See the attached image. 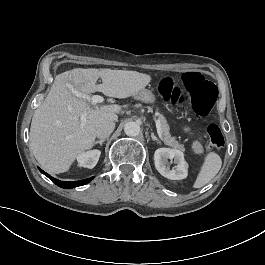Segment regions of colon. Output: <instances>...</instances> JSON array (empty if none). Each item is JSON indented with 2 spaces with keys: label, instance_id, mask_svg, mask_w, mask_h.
<instances>
[{
  "label": "colon",
  "instance_id": "1",
  "mask_svg": "<svg viewBox=\"0 0 265 265\" xmlns=\"http://www.w3.org/2000/svg\"><path fill=\"white\" fill-rule=\"evenodd\" d=\"M181 86L183 90L174 83L171 77H164L158 84L157 91L162 99L173 108L190 104L197 117L206 116L218 99L217 86L202 69L194 68L186 72ZM206 131L212 150L221 151L225 147V139L219 125L210 123Z\"/></svg>",
  "mask_w": 265,
  "mask_h": 265
}]
</instances>
